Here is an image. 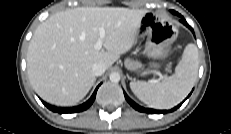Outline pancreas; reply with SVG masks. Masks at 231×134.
<instances>
[{"instance_id": "pancreas-1", "label": "pancreas", "mask_w": 231, "mask_h": 134, "mask_svg": "<svg viewBox=\"0 0 231 134\" xmlns=\"http://www.w3.org/2000/svg\"><path fill=\"white\" fill-rule=\"evenodd\" d=\"M125 66H126V68H128L130 70H135V69L139 68L141 66V64L137 61H132L130 59H126Z\"/></svg>"}]
</instances>
